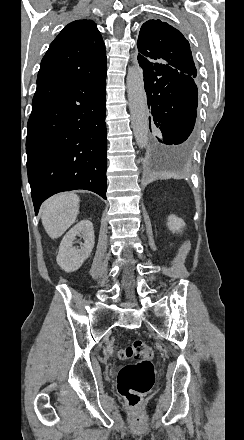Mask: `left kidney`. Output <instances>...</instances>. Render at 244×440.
<instances>
[{
	"mask_svg": "<svg viewBox=\"0 0 244 440\" xmlns=\"http://www.w3.org/2000/svg\"><path fill=\"white\" fill-rule=\"evenodd\" d=\"M167 226L169 230L175 234V232H182L181 228H185V222H183L181 218H177V216L171 214V216H168Z\"/></svg>",
	"mask_w": 244,
	"mask_h": 440,
	"instance_id": "5707ae66",
	"label": "left kidney"
}]
</instances>
